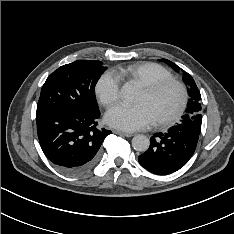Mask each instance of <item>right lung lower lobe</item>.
Returning <instances> with one entry per match:
<instances>
[{"label": "right lung lower lobe", "mask_w": 234, "mask_h": 234, "mask_svg": "<svg viewBox=\"0 0 234 234\" xmlns=\"http://www.w3.org/2000/svg\"><path fill=\"white\" fill-rule=\"evenodd\" d=\"M99 111L83 113L57 108L36 114L37 132L45 156L60 170L80 174L97 162L110 130L97 127Z\"/></svg>", "instance_id": "obj_1"}]
</instances>
